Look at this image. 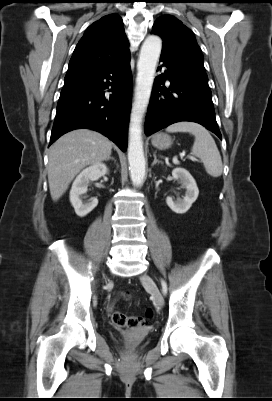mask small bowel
Masks as SVG:
<instances>
[{
	"instance_id": "small-bowel-1",
	"label": "small bowel",
	"mask_w": 272,
	"mask_h": 401,
	"mask_svg": "<svg viewBox=\"0 0 272 401\" xmlns=\"http://www.w3.org/2000/svg\"><path fill=\"white\" fill-rule=\"evenodd\" d=\"M114 302H115V301L112 300V301L108 304L107 311H108L109 313L113 310Z\"/></svg>"
}]
</instances>
